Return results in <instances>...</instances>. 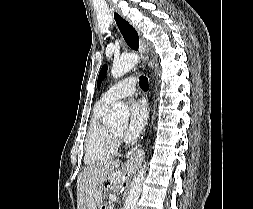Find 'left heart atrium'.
I'll return each instance as SVG.
<instances>
[{"instance_id": "left-heart-atrium-1", "label": "left heart atrium", "mask_w": 253, "mask_h": 209, "mask_svg": "<svg viewBox=\"0 0 253 209\" xmlns=\"http://www.w3.org/2000/svg\"><path fill=\"white\" fill-rule=\"evenodd\" d=\"M147 119V106L141 101L132 102L130 106L129 124L124 130L123 136L127 141L136 139L143 131Z\"/></svg>"}]
</instances>
